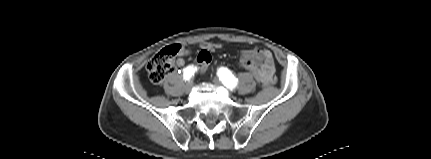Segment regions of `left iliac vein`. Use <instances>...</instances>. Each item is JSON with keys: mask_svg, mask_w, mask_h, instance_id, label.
<instances>
[{"mask_svg": "<svg viewBox=\"0 0 431 159\" xmlns=\"http://www.w3.org/2000/svg\"><path fill=\"white\" fill-rule=\"evenodd\" d=\"M213 83H214L215 85H217V86H221V85H222L221 81H220L218 78H214V79H213Z\"/></svg>", "mask_w": 431, "mask_h": 159, "instance_id": "4c4485c4", "label": "left iliac vein"}]
</instances>
